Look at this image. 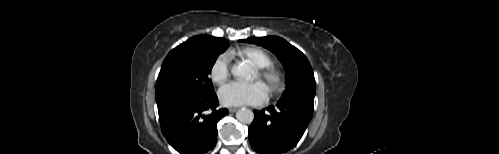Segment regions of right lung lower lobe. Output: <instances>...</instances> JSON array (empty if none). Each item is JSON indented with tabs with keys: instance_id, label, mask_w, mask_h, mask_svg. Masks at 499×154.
Listing matches in <instances>:
<instances>
[{
	"instance_id": "1",
	"label": "right lung lower lobe",
	"mask_w": 499,
	"mask_h": 154,
	"mask_svg": "<svg viewBox=\"0 0 499 154\" xmlns=\"http://www.w3.org/2000/svg\"><path fill=\"white\" fill-rule=\"evenodd\" d=\"M157 105L162 133L181 154H203L212 149L216 145L217 122L228 113L227 109H216L215 93L205 98L170 96L157 101Z\"/></svg>"
}]
</instances>
